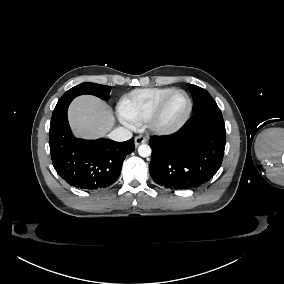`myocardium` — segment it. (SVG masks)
<instances>
[{"instance_id":"obj_1","label":"myocardium","mask_w":284,"mask_h":284,"mask_svg":"<svg viewBox=\"0 0 284 284\" xmlns=\"http://www.w3.org/2000/svg\"><path fill=\"white\" fill-rule=\"evenodd\" d=\"M179 91L184 92L187 96V99H188V109H187V112H186L184 118L174 127L167 128V129L157 127L156 119L159 117V115L163 111L167 100L174 93L179 92ZM192 111H193V101H192L190 94L185 89L176 88V89H173L172 91L168 92L167 94H165L158 101V103L155 105V107L152 109V111L148 114V116L144 120V124H145V127L147 128V130L155 136H162V137L171 136V135H174L177 132H179L186 125V123L188 122V120H189V118L192 114Z\"/></svg>"}]
</instances>
